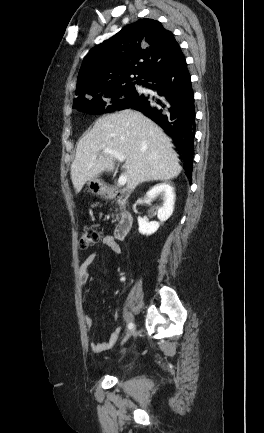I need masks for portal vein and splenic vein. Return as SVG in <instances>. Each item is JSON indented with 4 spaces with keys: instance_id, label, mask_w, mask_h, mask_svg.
<instances>
[{
    "instance_id": "18ae733b",
    "label": "portal vein and splenic vein",
    "mask_w": 264,
    "mask_h": 433,
    "mask_svg": "<svg viewBox=\"0 0 264 433\" xmlns=\"http://www.w3.org/2000/svg\"><path fill=\"white\" fill-rule=\"evenodd\" d=\"M103 152L105 154L110 155L111 157L117 159L119 162H123L125 160V156L122 153H120V152H118V151H116L114 149L105 148L103 150ZM93 158H96V155ZM126 183H127V177H126V175H121L119 177V179H118V184L120 186H124Z\"/></svg>"
}]
</instances>
